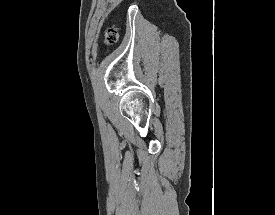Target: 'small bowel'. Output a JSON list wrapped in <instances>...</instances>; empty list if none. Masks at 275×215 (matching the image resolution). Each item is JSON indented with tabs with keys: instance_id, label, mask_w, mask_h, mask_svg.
Here are the masks:
<instances>
[{
	"instance_id": "c3829d8e",
	"label": "small bowel",
	"mask_w": 275,
	"mask_h": 215,
	"mask_svg": "<svg viewBox=\"0 0 275 215\" xmlns=\"http://www.w3.org/2000/svg\"><path fill=\"white\" fill-rule=\"evenodd\" d=\"M123 0H115L114 2H112L110 4V7L109 8H113V7H116L117 5H119Z\"/></svg>"
}]
</instances>
